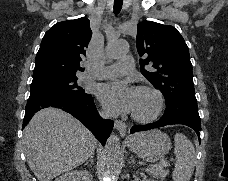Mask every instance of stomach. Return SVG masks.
Returning a JSON list of instances; mask_svg holds the SVG:
<instances>
[{"label": "stomach", "mask_w": 228, "mask_h": 181, "mask_svg": "<svg viewBox=\"0 0 228 181\" xmlns=\"http://www.w3.org/2000/svg\"><path fill=\"white\" fill-rule=\"evenodd\" d=\"M127 141L130 151L139 155L147 163L159 161L171 149V141L168 135H165L162 131L136 133L133 137H128Z\"/></svg>", "instance_id": "obj_1"}]
</instances>
